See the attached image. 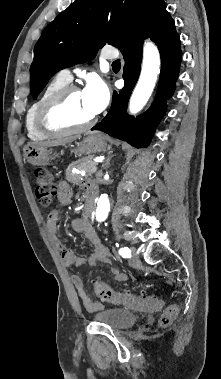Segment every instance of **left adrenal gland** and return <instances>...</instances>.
<instances>
[{
	"instance_id": "1",
	"label": "left adrenal gland",
	"mask_w": 221,
	"mask_h": 379,
	"mask_svg": "<svg viewBox=\"0 0 221 379\" xmlns=\"http://www.w3.org/2000/svg\"><path fill=\"white\" fill-rule=\"evenodd\" d=\"M110 160H111V157L109 156L105 162L103 163L102 167L103 169H108L110 167Z\"/></svg>"
}]
</instances>
